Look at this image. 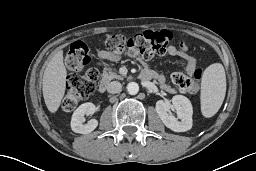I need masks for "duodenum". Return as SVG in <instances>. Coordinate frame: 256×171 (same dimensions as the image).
Returning <instances> with one entry per match:
<instances>
[{"mask_svg":"<svg viewBox=\"0 0 256 171\" xmlns=\"http://www.w3.org/2000/svg\"><path fill=\"white\" fill-rule=\"evenodd\" d=\"M109 80L107 78H103L98 86V91L104 93L108 87Z\"/></svg>","mask_w":256,"mask_h":171,"instance_id":"obj_1","label":"duodenum"}]
</instances>
